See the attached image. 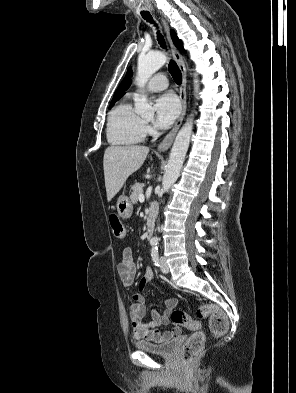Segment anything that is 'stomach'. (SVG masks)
I'll return each instance as SVG.
<instances>
[{"mask_svg": "<svg viewBox=\"0 0 296 393\" xmlns=\"http://www.w3.org/2000/svg\"><path fill=\"white\" fill-rule=\"evenodd\" d=\"M116 207L118 215L122 219H128L131 217L133 212V204L127 196L121 195L117 200Z\"/></svg>", "mask_w": 296, "mask_h": 393, "instance_id": "0dacf381", "label": "stomach"}]
</instances>
